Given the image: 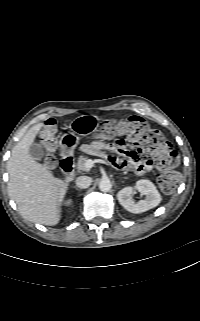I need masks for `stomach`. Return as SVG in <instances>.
Segmentation results:
<instances>
[{
	"mask_svg": "<svg viewBox=\"0 0 200 321\" xmlns=\"http://www.w3.org/2000/svg\"><path fill=\"white\" fill-rule=\"evenodd\" d=\"M98 119L91 115H81L70 123V134H65L61 138V145L68 151H72L79 144V137L76 135H86L98 126Z\"/></svg>",
	"mask_w": 200,
	"mask_h": 321,
	"instance_id": "0dacf381",
	"label": "stomach"
}]
</instances>
